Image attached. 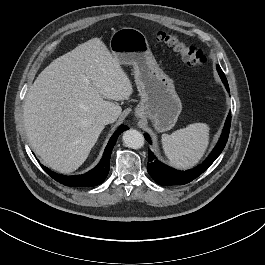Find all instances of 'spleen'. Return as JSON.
<instances>
[{
	"instance_id": "1",
	"label": "spleen",
	"mask_w": 265,
	"mask_h": 265,
	"mask_svg": "<svg viewBox=\"0 0 265 265\" xmlns=\"http://www.w3.org/2000/svg\"><path fill=\"white\" fill-rule=\"evenodd\" d=\"M209 130L206 123H194L170 135L163 134L162 147L170 163L178 168L196 165L209 145Z\"/></svg>"
}]
</instances>
